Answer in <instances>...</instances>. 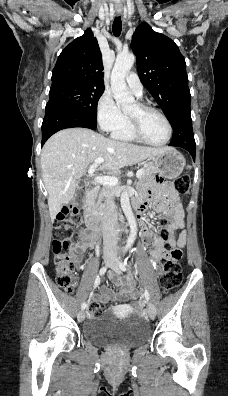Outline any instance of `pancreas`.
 Masks as SVG:
<instances>
[{"label":"pancreas","instance_id":"cf45deb5","mask_svg":"<svg viewBox=\"0 0 228 396\" xmlns=\"http://www.w3.org/2000/svg\"><path fill=\"white\" fill-rule=\"evenodd\" d=\"M142 169L144 171L141 176L142 179H145L157 172L155 166L151 163L145 164ZM115 195H117V189L113 186L104 185L100 190H97L93 195V212L102 218L107 204L105 199L113 198Z\"/></svg>","mask_w":228,"mask_h":396}]
</instances>
